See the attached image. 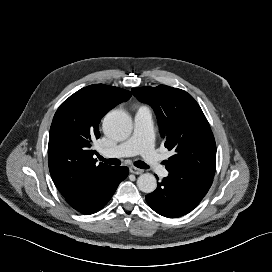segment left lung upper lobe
I'll return each instance as SVG.
<instances>
[{
    "mask_svg": "<svg viewBox=\"0 0 272 272\" xmlns=\"http://www.w3.org/2000/svg\"><path fill=\"white\" fill-rule=\"evenodd\" d=\"M132 92L154 109L165 147L175 151L166 161V169L213 178L215 139L195 99L186 91L166 85L133 88Z\"/></svg>",
    "mask_w": 272,
    "mask_h": 272,
    "instance_id": "5c2ea615",
    "label": "left lung upper lobe"
}]
</instances>
